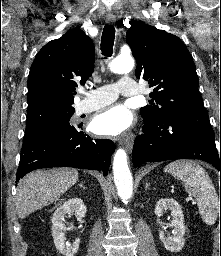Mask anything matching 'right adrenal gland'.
<instances>
[{
	"mask_svg": "<svg viewBox=\"0 0 221 256\" xmlns=\"http://www.w3.org/2000/svg\"><path fill=\"white\" fill-rule=\"evenodd\" d=\"M79 186L85 189V186H83V184H82V183H80V184H79Z\"/></svg>",
	"mask_w": 221,
	"mask_h": 256,
	"instance_id": "obj_1",
	"label": "right adrenal gland"
}]
</instances>
